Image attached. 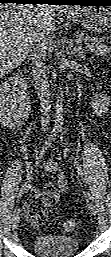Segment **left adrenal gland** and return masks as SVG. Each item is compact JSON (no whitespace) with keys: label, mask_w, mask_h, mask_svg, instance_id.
<instances>
[{"label":"left adrenal gland","mask_w":111,"mask_h":257,"mask_svg":"<svg viewBox=\"0 0 111 257\" xmlns=\"http://www.w3.org/2000/svg\"><path fill=\"white\" fill-rule=\"evenodd\" d=\"M69 48L72 54H77V57L83 58L84 50L80 45H74V40H71Z\"/></svg>","instance_id":"1"}]
</instances>
